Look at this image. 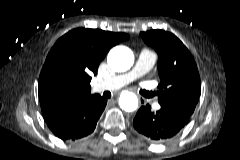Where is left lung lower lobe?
Listing matches in <instances>:
<instances>
[{"label": "left lung lower lobe", "instance_id": "obj_1", "mask_svg": "<svg viewBox=\"0 0 240 160\" xmlns=\"http://www.w3.org/2000/svg\"><path fill=\"white\" fill-rule=\"evenodd\" d=\"M189 118L161 106L152 112L149 105L142 106L133 121V126L142 138L149 142L161 143L174 137L187 123Z\"/></svg>", "mask_w": 240, "mask_h": 160}]
</instances>
